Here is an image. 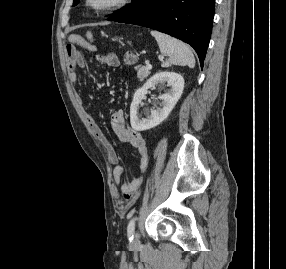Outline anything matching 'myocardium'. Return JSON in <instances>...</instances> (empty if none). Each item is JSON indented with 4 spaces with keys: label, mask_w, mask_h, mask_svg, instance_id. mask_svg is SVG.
<instances>
[{
    "label": "myocardium",
    "mask_w": 286,
    "mask_h": 269,
    "mask_svg": "<svg viewBox=\"0 0 286 269\" xmlns=\"http://www.w3.org/2000/svg\"><path fill=\"white\" fill-rule=\"evenodd\" d=\"M133 0H113L103 5H97L94 0H85L86 7L94 14L102 15L120 10Z\"/></svg>",
    "instance_id": "myocardium-1"
}]
</instances>
